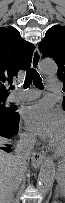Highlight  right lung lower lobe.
Segmentation results:
<instances>
[{"mask_svg":"<svg viewBox=\"0 0 65 203\" xmlns=\"http://www.w3.org/2000/svg\"><path fill=\"white\" fill-rule=\"evenodd\" d=\"M19 114L11 117H0V136L11 138L18 132ZM0 149L11 152V146L5 145Z\"/></svg>","mask_w":65,"mask_h":203,"instance_id":"1","label":"right lung lower lobe"}]
</instances>
